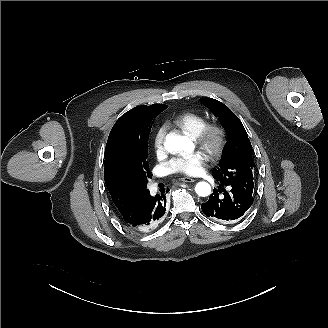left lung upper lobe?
<instances>
[{"label":"left lung upper lobe","instance_id":"5c2ea615","mask_svg":"<svg viewBox=\"0 0 328 328\" xmlns=\"http://www.w3.org/2000/svg\"><path fill=\"white\" fill-rule=\"evenodd\" d=\"M201 102L217 117L227 132L219 167L212 171L217 181L226 186H236L253 192L255 163L252 159V145L239 118L222 102L202 98Z\"/></svg>","mask_w":328,"mask_h":328}]
</instances>
